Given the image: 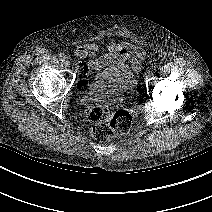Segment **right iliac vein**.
<instances>
[{
	"mask_svg": "<svg viewBox=\"0 0 212 212\" xmlns=\"http://www.w3.org/2000/svg\"><path fill=\"white\" fill-rule=\"evenodd\" d=\"M63 63H64V65H65V67H69V66H70V61L67 60V59H65V60L63 61Z\"/></svg>",
	"mask_w": 212,
	"mask_h": 212,
	"instance_id": "63e3f726",
	"label": "right iliac vein"
}]
</instances>
